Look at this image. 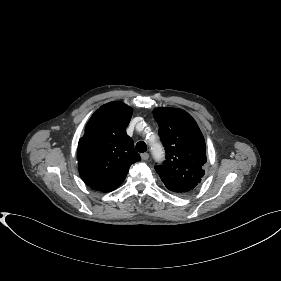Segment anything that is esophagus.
<instances>
[{"mask_svg":"<svg viewBox=\"0 0 281 281\" xmlns=\"http://www.w3.org/2000/svg\"><path fill=\"white\" fill-rule=\"evenodd\" d=\"M141 159L144 160V161L148 160L149 159V154L148 153H142L141 154Z\"/></svg>","mask_w":281,"mask_h":281,"instance_id":"esophagus-1","label":"esophagus"}]
</instances>
